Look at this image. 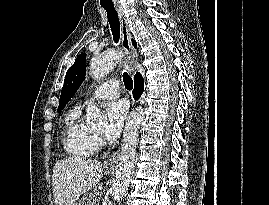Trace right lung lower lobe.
<instances>
[{
	"instance_id": "obj_1",
	"label": "right lung lower lobe",
	"mask_w": 269,
	"mask_h": 205,
	"mask_svg": "<svg viewBox=\"0 0 269 205\" xmlns=\"http://www.w3.org/2000/svg\"><path fill=\"white\" fill-rule=\"evenodd\" d=\"M144 81H143V78L142 76L140 75V73H136L135 77H134V90H133V97L135 99H138L143 90H144Z\"/></svg>"
}]
</instances>
